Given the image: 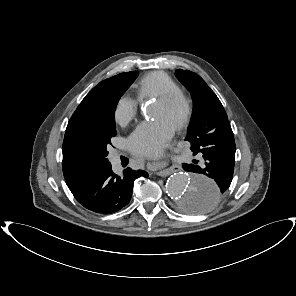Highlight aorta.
Returning a JSON list of instances; mask_svg holds the SVG:
<instances>
[{
    "mask_svg": "<svg viewBox=\"0 0 296 296\" xmlns=\"http://www.w3.org/2000/svg\"><path fill=\"white\" fill-rule=\"evenodd\" d=\"M217 188L213 179L185 172L172 174L166 183L168 196L180 210L189 214H202L211 210L217 202Z\"/></svg>",
    "mask_w": 296,
    "mask_h": 296,
    "instance_id": "762f6f07",
    "label": "aorta"
}]
</instances>
